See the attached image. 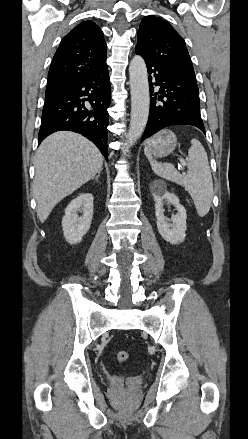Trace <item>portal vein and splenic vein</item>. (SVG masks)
<instances>
[{
  "mask_svg": "<svg viewBox=\"0 0 248 439\" xmlns=\"http://www.w3.org/2000/svg\"><path fill=\"white\" fill-rule=\"evenodd\" d=\"M179 170H182L183 169V167L182 166H179V168H178Z\"/></svg>",
  "mask_w": 248,
  "mask_h": 439,
  "instance_id": "portal-vein-and-splenic-vein-1",
  "label": "portal vein and splenic vein"
}]
</instances>
